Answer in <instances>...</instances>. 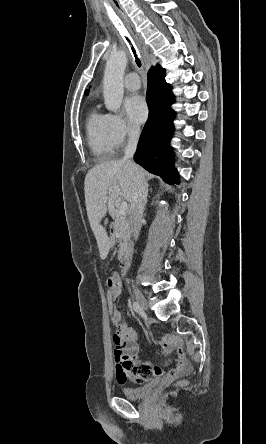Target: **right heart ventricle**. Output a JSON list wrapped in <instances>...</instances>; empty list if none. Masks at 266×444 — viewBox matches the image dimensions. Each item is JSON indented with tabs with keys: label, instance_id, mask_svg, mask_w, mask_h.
<instances>
[{
	"label": "right heart ventricle",
	"instance_id": "1",
	"mask_svg": "<svg viewBox=\"0 0 266 444\" xmlns=\"http://www.w3.org/2000/svg\"><path fill=\"white\" fill-rule=\"evenodd\" d=\"M86 137L91 152L98 158H110L115 152L107 115L91 109L86 119Z\"/></svg>",
	"mask_w": 266,
	"mask_h": 444
}]
</instances>
